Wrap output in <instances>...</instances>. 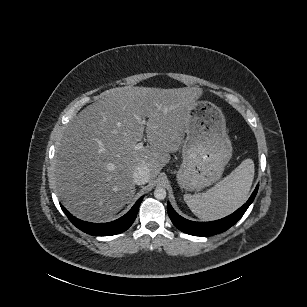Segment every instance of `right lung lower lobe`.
Masks as SVG:
<instances>
[{"mask_svg": "<svg viewBox=\"0 0 307 307\" xmlns=\"http://www.w3.org/2000/svg\"><path fill=\"white\" fill-rule=\"evenodd\" d=\"M142 199L143 196L139 198V200L134 204L131 210L124 216L113 222L108 223H90L79 220L73 215H71L63 206L61 207L69 220L83 232L95 236H111L124 232L132 225L136 218Z\"/></svg>", "mask_w": 307, "mask_h": 307, "instance_id": "1", "label": "right lung lower lobe"}]
</instances>
